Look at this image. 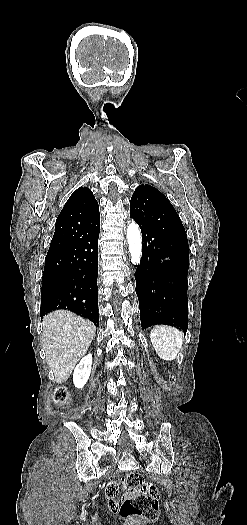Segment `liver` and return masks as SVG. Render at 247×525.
<instances>
[{
	"label": "liver",
	"instance_id": "liver-1",
	"mask_svg": "<svg viewBox=\"0 0 247 525\" xmlns=\"http://www.w3.org/2000/svg\"><path fill=\"white\" fill-rule=\"evenodd\" d=\"M41 343L57 385L68 381L74 367L86 355L96 333L94 323L71 311H53L42 321Z\"/></svg>",
	"mask_w": 247,
	"mask_h": 525
}]
</instances>
